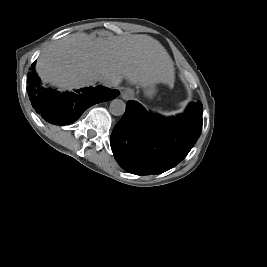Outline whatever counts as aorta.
<instances>
[{
	"instance_id": "obj_1",
	"label": "aorta",
	"mask_w": 267,
	"mask_h": 267,
	"mask_svg": "<svg viewBox=\"0 0 267 267\" xmlns=\"http://www.w3.org/2000/svg\"><path fill=\"white\" fill-rule=\"evenodd\" d=\"M110 113L114 116H121L126 110V104L121 99H114L109 106Z\"/></svg>"
}]
</instances>
